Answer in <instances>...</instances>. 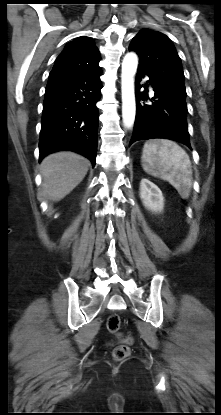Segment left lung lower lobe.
I'll use <instances>...</instances> for the list:
<instances>
[{"label": "left lung lower lobe", "mask_w": 221, "mask_h": 415, "mask_svg": "<svg viewBox=\"0 0 221 415\" xmlns=\"http://www.w3.org/2000/svg\"><path fill=\"white\" fill-rule=\"evenodd\" d=\"M146 74L138 71L136 76V119L129 146L138 140L164 138L181 142L191 148L187 124L186 93L148 81L154 97L151 105L140 103L147 100L148 85L140 92L139 82Z\"/></svg>", "instance_id": "0a47b994"}]
</instances>
